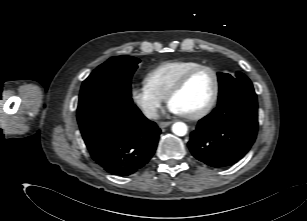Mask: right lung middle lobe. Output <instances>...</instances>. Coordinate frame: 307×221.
I'll return each mask as SVG.
<instances>
[{"instance_id":"right-lung-middle-lobe-1","label":"right lung middle lobe","mask_w":307,"mask_h":221,"mask_svg":"<svg viewBox=\"0 0 307 221\" xmlns=\"http://www.w3.org/2000/svg\"><path fill=\"white\" fill-rule=\"evenodd\" d=\"M139 61L132 56L112 57L89 75L80 91L79 124L107 108L133 105L130 81Z\"/></svg>"}]
</instances>
